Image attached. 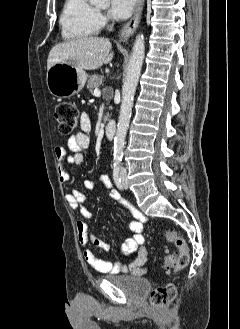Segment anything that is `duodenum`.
<instances>
[{"label": "duodenum", "mask_w": 240, "mask_h": 329, "mask_svg": "<svg viewBox=\"0 0 240 329\" xmlns=\"http://www.w3.org/2000/svg\"><path fill=\"white\" fill-rule=\"evenodd\" d=\"M116 132V124L114 120H109L105 126V136L107 139L111 140L114 138Z\"/></svg>", "instance_id": "duodenum-1"}]
</instances>
